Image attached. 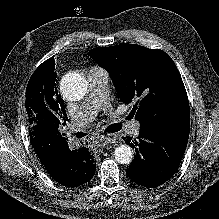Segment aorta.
<instances>
[{
    "mask_svg": "<svg viewBox=\"0 0 219 219\" xmlns=\"http://www.w3.org/2000/svg\"><path fill=\"white\" fill-rule=\"evenodd\" d=\"M88 82L80 74L64 77L61 81L60 90L63 97L68 101L81 100L87 93ZM115 160L120 164H130L133 160V151L128 145H120L114 151Z\"/></svg>",
    "mask_w": 219,
    "mask_h": 219,
    "instance_id": "obj_1",
    "label": "aorta"
}]
</instances>
